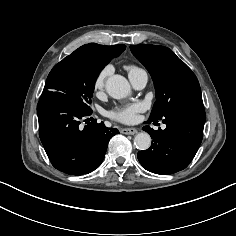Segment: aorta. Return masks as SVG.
<instances>
[{"instance_id":"obj_1","label":"aorta","mask_w":236,"mask_h":236,"mask_svg":"<svg viewBox=\"0 0 236 236\" xmlns=\"http://www.w3.org/2000/svg\"><path fill=\"white\" fill-rule=\"evenodd\" d=\"M106 91L111 97L122 99L131 93V87L125 77L112 75L106 81ZM134 144L139 150H147L151 146V137L146 132H140L135 136Z\"/></svg>"}]
</instances>
